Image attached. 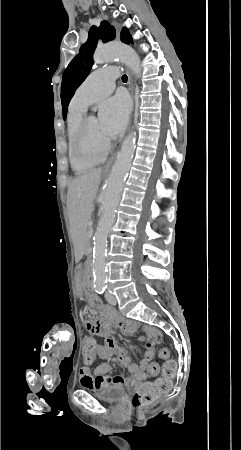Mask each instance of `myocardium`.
I'll return each mask as SVG.
<instances>
[{
	"label": "myocardium",
	"instance_id": "1",
	"mask_svg": "<svg viewBox=\"0 0 241 450\" xmlns=\"http://www.w3.org/2000/svg\"><path fill=\"white\" fill-rule=\"evenodd\" d=\"M90 117L87 115H84L82 118H80L74 125V129H73V133L75 134L74 136L71 137V142L73 143L71 145L72 149H75V153L78 154V157L75 158L76 162H80L83 163V158L85 156H90L92 158V162H94V158H102V156H98L96 153H88V152H82L80 150L81 148V144L82 142V137L84 135L85 132H87L86 129H84V127H86V122L88 121ZM81 151V152H80ZM76 154V155H77Z\"/></svg>",
	"mask_w": 241,
	"mask_h": 450
}]
</instances>
